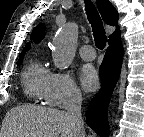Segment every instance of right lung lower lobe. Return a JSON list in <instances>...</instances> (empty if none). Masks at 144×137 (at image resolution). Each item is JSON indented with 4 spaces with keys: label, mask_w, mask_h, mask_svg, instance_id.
Returning <instances> with one entry per match:
<instances>
[{
    "label": "right lung lower lobe",
    "mask_w": 144,
    "mask_h": 137,
    "mask_svg": "<svg viewBox=\"0 0 144 137\" xmlns=\"http://www.w3.org/2000/svg\"><path fill=\"white\" fill-rule=\"evenodd\" d=\"M123 60L120 39L109 42L100 66L101 89L91 100L86 115L88 125L101 137L108 136L107 108L118 81Z\"/></svg>",
    "instance_id": "right-lung-lower-lobe-1"
}]
</instances>
